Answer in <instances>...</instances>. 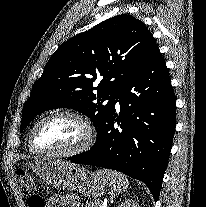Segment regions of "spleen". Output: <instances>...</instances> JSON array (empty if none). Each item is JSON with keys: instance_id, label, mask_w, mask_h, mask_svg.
Listing matches in <instances>:
<instances>
[{"instance_id": "3e777b00", "label": "spleen", "mask_w": 206, "mask_h": 207, "mask_svg": "<svg viewBox=\"0 0 206 207\" xmlns=\"http://www.w3.org/2000/svg\"><path fill=\"white\" fill-rule=\"evenodd\" d=\"M97 175L107 180L111 189L118 193L126 192L129 186L128 178L120 172L100 169Z\"/></svg>"}]
</instances>
